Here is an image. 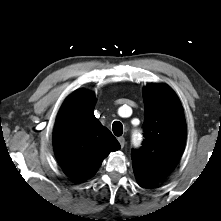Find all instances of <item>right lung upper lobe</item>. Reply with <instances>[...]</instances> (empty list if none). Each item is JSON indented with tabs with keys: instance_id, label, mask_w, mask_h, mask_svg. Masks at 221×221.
I'll list each match as a JSON object with an SVG mask.
<instances>
[{
	"instance_id": "right-lung-upper-lobe-1",
	"label": "right lung upper lobe",
	"mask_w": 221,
	"mask_h": 221,
	"mask_svg": "<svg viewBox=\"0 0 221 221\" xmlns=\"http://www.w3.org/2000/svg\"><path fill=\"white\" fill-rule=\"evenodd\" d=\"M95 95L83 89L70 94L62 105L54 129V151L72 179L91 178L103 159L120 144L94 115Z\"/></svg>"
}]
</instances>
